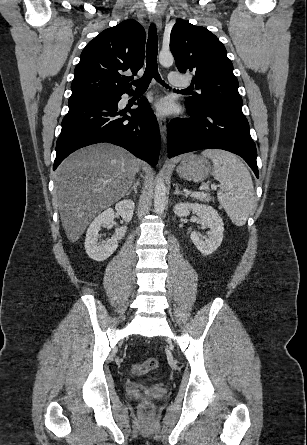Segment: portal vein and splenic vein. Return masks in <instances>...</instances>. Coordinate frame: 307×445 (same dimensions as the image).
I'll return each instance as SVG.
<instances>
[{"instance_id":"portal-vein-and-splenic-vein-1","label":"portal vein and splenic vein","mask_w":307,"mask_h":445,"mask_svg":"<svg viewBox=\"0 0 307 445\" xmlns=\"http://www.w3.org/2000/svg\"><path fill=\"white\" fill-rule=\"evenodd\" d=\"M212 190H216L217 184H210ZM205 188H209L208 184H203V186H200V190H205ZM190 196H205V192H192Z\"/></svg>"}]
</instances>
